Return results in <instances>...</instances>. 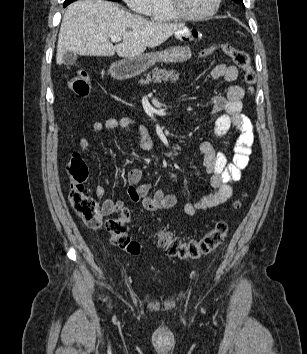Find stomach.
<instances>
[{"mask_svg": "<svg viewBox=\"0 0 307 354\" xmlns=\"http://www.w3.org/2000/svg\"><path fill=\"white\" fill-rule=\"evenodd\" d=\"M194 31V30H189ZM195 32V31H194ZM189 41L191 38H178ZM192 52L187 47H172L156 53L141 54L132 58H125L112 65L110 71L118 78H131L144 72L156 62L177 63L188 60Z\"/></svg>", "mask_w": 307, "mask_h": 354, "instance_id": "1", "label": "stomach"}]
</instances>
